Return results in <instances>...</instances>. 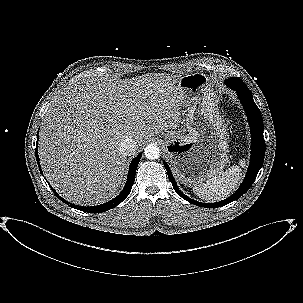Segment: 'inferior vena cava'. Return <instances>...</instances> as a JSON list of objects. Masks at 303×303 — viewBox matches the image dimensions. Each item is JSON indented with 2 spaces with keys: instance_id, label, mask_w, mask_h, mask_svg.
<instances>
[{
  "instance_id": "1",
  "label": "inferior vena cava",
  "mask_w": 303,
  "mask_h": 303,
  "mask_svg": "<svg viewBox=\"0 0 303 303\" xmlns=\"http://www.w3.org/2000/svg\"><path fill=\"white\" fill-rule=\"evenodd\" d=\"M136 141L132 138H125L120 143V151L126 155H131L136 149Z\"/></svg>"
}]
</instances>
